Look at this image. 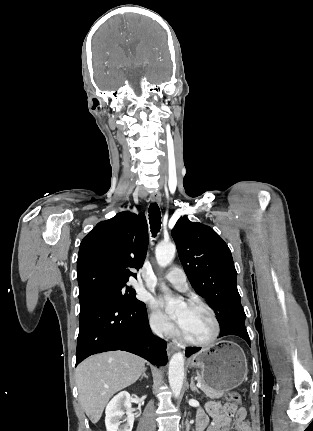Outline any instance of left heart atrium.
Here are the masks:
<instances>
[{"label":"left heart atrium","instance_id":"39dd6f15","mask_svg":"<svg viewBox=\"0 0 313 431\" xmlns=\"http://www.w3.org/2000/svg\"><path fill=\"white\" fill-rule=\"evenodd\" d=\"M155 304H156V306L161 307V306H163V301H162V300H157V301H155ZM176 322H177V324H178V321H177V320H176Z\"/></svg>","mask_w":313,"mask_h":431}]
</instances>
